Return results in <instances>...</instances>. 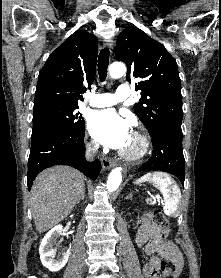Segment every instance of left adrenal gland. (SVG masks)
Instances as JSON below:
<instances>
[{
  "instance_id": "obj_1",
  "label": "left adrenal gland",
  "mask_w": 221,
  "mask_h": 278,
  "mask_svg": "<svg viewBox=\"0 0 221 278\" xmlns=\"http://www.w3.org/2000/svg\"><path fill=\"white\" fill-rule=\"evenodd\" d=\"M125 199H132V193H129V195H127Z\"/></svg>"
}]
</instances>
